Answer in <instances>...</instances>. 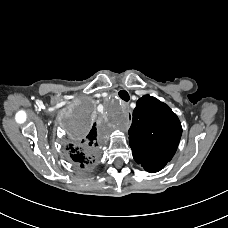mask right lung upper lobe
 <instances>
[{
    "label": "right lung upper lobe",
    "instance_id": "1",
    "mask_svg": "<svg viewBox=\"0 0 228 228\" xmlns=\"http://www.w3.org/2000/svg\"><path fill=\"white\" fill-rule=\"evenodd\" d=\"M96 136V130L92 129L86 139L69 144L68 150L70 151L71 158L81 164V166L94 161L91 151L97 146Z\"/></svg>",
    "mask_w": 228,
    "mask_h": 228
}]
</instances>
